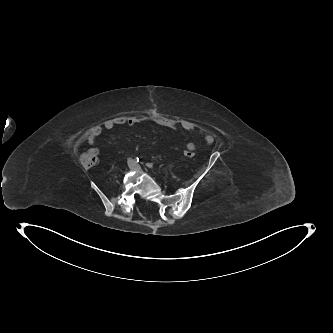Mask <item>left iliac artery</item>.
<instances>
[{"label":"left iliac artery","instance_id":"44dca946","mask_svg":"<svg viewBox=\"0 0 333 333\" xmlns=\"http://www.w3.org/2000/svg\"><path fill=\"white\" fill-rule=\"evenodd\" d=\"M147 166H148L149 168H153V165H152L151 163H147Z\"/></svg>","mask_w":333,"mask_h":333}]
</instances>
